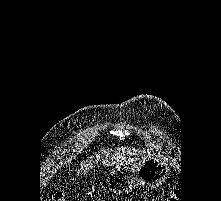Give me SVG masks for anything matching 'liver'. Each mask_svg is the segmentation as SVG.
Returning a JSON list of instances; mask_svg holds the SVG:
<instances>
[{"instance_id": "1", "label": "liver", "mask_w": 221, "mask_h": 201, "mask_svg": "<svg viewBox=\"0 0 221 201\" xmlns=\"http://www.w3.org/2000/svg\"><path fill=\"white\" fill-rule=\"evenodd\" d=\"M146 157V154L142 151L131 150L124 147L102 150L84 161L81 164V167L76 171V175L78 176L82 173L88 172L97 162H101L105 166H116L132 163L133 161L145 159Z\"/></svg>"}]
</instances>
